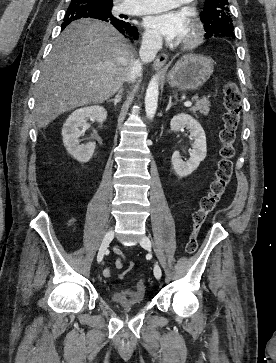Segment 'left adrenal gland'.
<instances>
[{
  "label": "left adrenal gland",
  "mask_w": 276,
  "mask_h": 363,
  "mask_svg": "<svg viewBox=\"0 0 276 363\" xmlns=\"http://www.w3.org/2000/svg\"><path fill=\"white\" fill-rule=\"evenodd\" d=\"M176 104L175 103H172V97L169 98V102H168V105H167V108H166V112L169 111V109L174 106Z\"/></svg>",
  "instance_id": "1"
}]
</instances>
